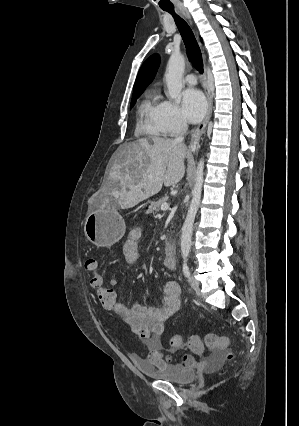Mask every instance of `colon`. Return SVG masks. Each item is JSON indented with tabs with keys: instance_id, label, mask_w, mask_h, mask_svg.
Segmentation results:
<instances>
[{
	"instance_id": "colon-1",
	"label": "colon",
	"mask_w": 299,
	"mask_h": 426,
	"mask_svg": "<svg viewBox=\"0 0 299 426\" xmlns=\"http://www.w3.org/2000/svg\"><path fill=\"white\" fill-rule=\"evenodd\" d=\"M85 268L92 273L90 284L95 289L98 302L105 309L113 310L120 300L119 293L105 281L104 276L99 272L98 263L95 259H88L85 263ZM170 343L174 348L186 346L194 353H201L204 349L203 341L197 335L189 337L187 343H185L184 337L181 334H175L172 336ZM205 344L212 349L218 348L226 350V359H233L234 355L232 351L228 349L230 345V339L228 337L208 334L205 337Z\"/></svg>"
}]
</instances>
